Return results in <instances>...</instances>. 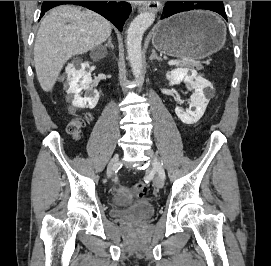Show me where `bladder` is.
<instances>
[{
    "mask_svg": "<svg viewBox=\"0 0 271 266\" xmlns=\"http://www.w3.org/2000/svg\"><path fill=\"white\" fill-rule=\"evenodd\" d=\"M154 211L155 207L148 201H139L124 209L117 206L112 208L113 214L133 222H142L147 220L154 214Z\"/></svg>",
    "mask_w": 271,
    "mask_h": 266,
    "instance_id": "bladder-1",
    "label": "bladder"
}]
</instances>
